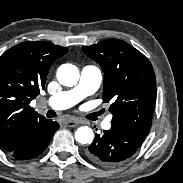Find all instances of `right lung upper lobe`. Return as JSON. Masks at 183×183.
<instances>
[{
	"label": "right lung upper lobe",
	"mask_w": 183,
	"mask_h": 183,
	"mask_svg": "<svg viewBox=\"0 0 183 183\" xmlns=\"http://www.w3.org/2000/svg\"><path fill=\"white\" fill-rule=\"evenodd\" d=\"M67 48L48 42L28 41L0 57V148L14 150L23 130L45 118L29 106L44 89L53 62Z\"/></svg>",
	"instance_id": "obj_1"
}]
</instances>
